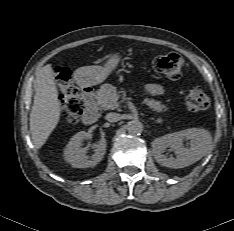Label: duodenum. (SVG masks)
<instances>
[{
	"label": "duodenum",
	"mask_w": 234,
	"mask_h": 231,
	"mask_svg": "<svg viewBox=\"0 0 234 231\" xmlns=\"http://www.w3.org/2000/svg\"><path fill=\"white\" fill-rule=\"evenodd\" d=\"M81 93L83 100L86 104L82 114V121L85 124H91L95 122L99 117V112L94 100V90L89 84L83 83L81 85Z\"/></svg>",
	"instance_id": "obj_1"
}]
</instances>
